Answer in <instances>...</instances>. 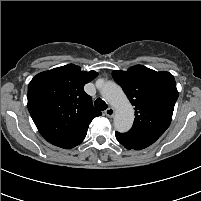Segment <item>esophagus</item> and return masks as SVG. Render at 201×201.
Masks as SVG:
<instances>
[{
    "label": "esophagus",
    "instance_id": "1",
    "mask_svg": "<svg viewBox=\"0 0 201 201\" xmlns=\"http://www.w3.org/2000/svg\"><path fill=\"white\" fill-rule=\"evenodd\" d=\"M105 115L107 117H110V118L113 117V115H114V108H112V107L107 108L105 110Z\"/></svg>",
    "mask_w": 201,
    "mask_h": 201
}]
</instances>
